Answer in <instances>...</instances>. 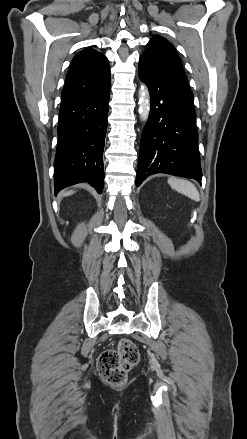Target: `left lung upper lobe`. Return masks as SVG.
I'll return each instance as SVG.
<instances>
[{
	"label": "left lung upper lobe",
	"mask_w": 247,
	"mask_h": 439,
	"mask_svg": "<svg viewBox=\"0 0 247 439\" xmlns=\"http://www.w3.org/2000/svg\"><path fill=\"white\" fill-rule=\"evenodd\" d=\"M139 62L157 74L191 91L180 58L174 46L165 38L155 35L147 44Z\"/></svg>",
	"instance_id": "left-lung-upper-lobe-1"
}]
</instances>
